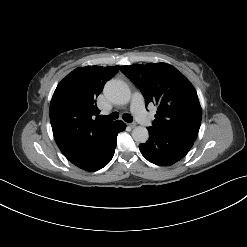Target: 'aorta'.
I'll return each instance as SVG.
<instances>
[{
  "label": "aorta",
  "instance_id": "762f6f07",
  "mask_svg": "<svg viewBox=\"0 0 247 247\" xmlns=\"http://www.w3.org/2000/svg\"><path fill=\"white\" fill-rule=\"evenodd\" d=\"M104 94L108 100L117 105H125L131 98V91L128 85L118 79H112L106 83ZM132 137L138 143H145L149 138V132L147 128L137 126L132 131Z\"/></svg>",
  "mask_w": 247,
  "mask_h": 247
}]
</instances>
